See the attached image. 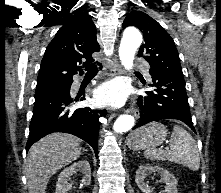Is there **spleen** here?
<instances>
[{
	"label": "spleen",
	"instance_id": "obj_1",
	"mask_svg": "<svg viewBox=\"0 0 221 193\" xmlns=\"http://www.w3.org/2000/svg\"><path fill=\"white\" fill-rule=\"evenodd\" d=\"M150 160L171 161L192 170L200 167V156L194 138L184 128L175 125L170 139V150L151 149L144 152Z\"/></svg>",
	"mask_w": 221,
	"mask_h": 193
}]
</instances>
